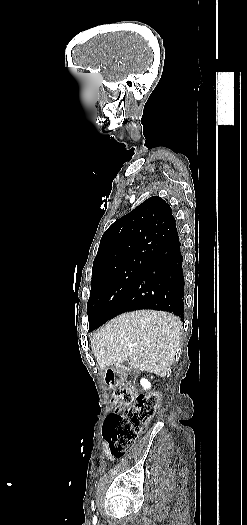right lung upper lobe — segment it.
<instances>
[{"mask_svg": "<svg viewBox=\"0 0 247 525\" xmlns=\"http://www.w3.org/2000/svg\"><path fill=\"white\" fill-rule=\"evenodd\" d=\"M176 234L170 205L158 196L150 197L104 232L92 273L128 267Z\"/></svg>", "mask_w": 247, "mask_h": 525, "instance_id": "right-lung-upper-lobe-1", "label": "right lung upper lobe"}]
</instances>
